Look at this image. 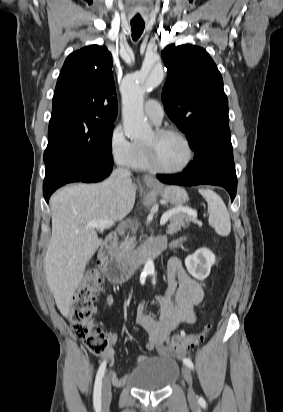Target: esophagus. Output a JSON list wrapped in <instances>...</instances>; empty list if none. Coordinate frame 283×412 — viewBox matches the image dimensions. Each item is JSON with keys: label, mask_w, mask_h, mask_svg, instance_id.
Masks as SVG:
<instances>
[{"label": "esophagus", "mask_w": 283, "mask_h": 412, "mask_svg": "<svg viewBox=\"0 0 283 412\" xmlns=\"http://www.w3.org/2000/svg\"><path fill=\"white\" fill-rule=\"evenodd\" d=\"M143 180L147 185H155L156 184L155 179L150 175H145Z\"/></svg>", "instance_id": "esophagus-1"}]
</instances>
